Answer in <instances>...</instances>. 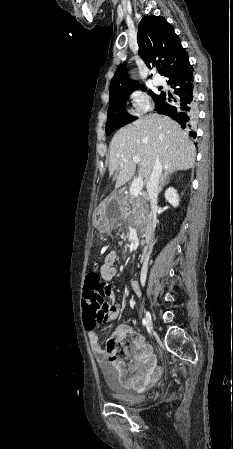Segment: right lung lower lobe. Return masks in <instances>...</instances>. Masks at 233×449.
Segmentation results:
<instances>
[{
	"label": "right lung lower lobe",
	"instance_id": "98d812e1",
	"mask_svg": "<svg viewBox=\"0 0 233 449\" xmlns=\"http://www.w3.org/2000/svg\"><path fill=\"white\" fill-rule=\"evenodd\" d=\"M168 78V84L175 90L174 95L163 92L155 105V110L159 114L167 115L176 120L185 129L186 133L195 138L196 132L193 127L197 117V105L193 68L188 62Z\"/></svg>",
	"mask_w": 233,
	"mask_h": 449
}]
</instances>
